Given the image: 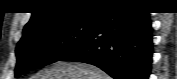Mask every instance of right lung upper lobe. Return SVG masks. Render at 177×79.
Listing matches in <instances>:
<instances>
[{
  "label": "right lung upper lobe",
  "mask_w": 177,
  "mask_h": 79,
  "mask_svg": "<svg viewBox=\"0 0 177 79\" xmlns=\"http://www.w3.org/2000/svg\"><path fill=\"white\" fill-rule=\"evenodd\" d=\"M134 3L129 0H40L32 17L23 29V35L41 27L77 19L98 18L107 8L118 4Z\"/></svg>",
  "instance_id": "cb5924a9"
}]
</instances>
